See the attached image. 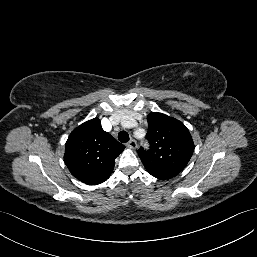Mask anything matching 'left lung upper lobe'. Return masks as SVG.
<instances>
[{
	"label": "left lung upper lobe",
	"instance_id": "obj_1",
	"mask_svg": "<svg viewBox=\"0 0 257 257\" xmlns=\"http://www.w3.org/2000/svg\"><path fill=\"white\" fill-rule=\"evenodd\" d=\"M147 119L150 149L140 148L139 157L152 176L163 180L173 178L186 167L193 154L190 132L182 122L162 113L152 112Z\"/></svg>",
	"mask_w": 257,
	"mask_h": 257
}]
</instances>
